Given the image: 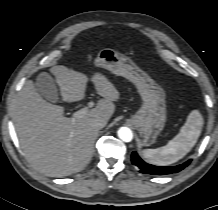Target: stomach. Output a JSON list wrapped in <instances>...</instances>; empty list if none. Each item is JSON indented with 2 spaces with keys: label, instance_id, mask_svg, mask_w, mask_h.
<instances>
[{
  "label": "stomach",
  "instance_id": "1",
  "mask_svg": "<svg viewBox=\"0 0 218 210\" xmlns=\"http://www.w3.org/2000/svg\"><path fill=\"white\" fill-rule=\"evenodd\" d=\"M95 65L127 78L136 86L143 103L128 122L140 133L142 146L154 144L167 118L164 89L129 57L113 49H102L95 59Z\"/></svg>",
  "mask_w": 218,
  "mask_h": 210
}]
</instances>
